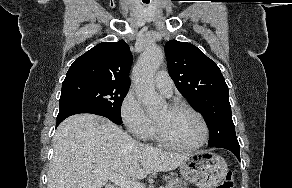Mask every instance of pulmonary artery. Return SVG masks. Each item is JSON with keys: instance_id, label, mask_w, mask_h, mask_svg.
I'll return each instance as SVG.
<instances>
[{"instance_id": "1", "label": "pulmonary artery", "mask_w": 292, "mask_h": 188, "mask_svg": "<svg viewBox=\"0 0 292 188\" xmlns=\"http://www.w3.org/2000/svg\"><path fill=\"white\" fill-rule=\"evenodd\" d=\"M153 81L155 87L161 93H163L167 97L171 96L174 87V82L166 71H158L154 76Z\"/></svg>"}]
</instances>
